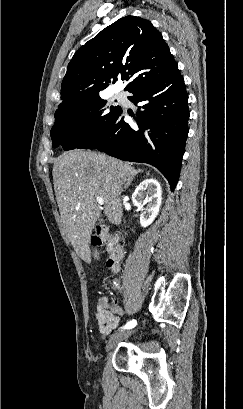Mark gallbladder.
I'll list each match as a JSON object with an SVG mask.
<instances>
[{
  "label": "gallbladder",
  "instance_id": "gallbladder-1",
  "mask_svg": "<svg viewBox=\"0 0 243 409\" xmlns=\"http://www.w3.org/2000/svg\"><path fill=\"white\" fill-rule=\"evenodd\" d=\"M95 255H98V252H97V251L95 252Z\"/></svg>",
  "mask_w": 243,
  "mask_h": 409
}]
</instances>
